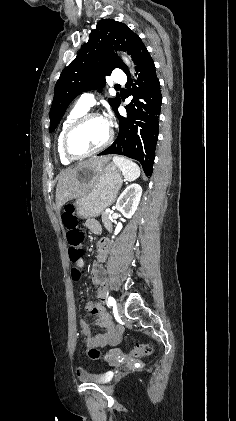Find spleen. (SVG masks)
Segmentation results:
<instances>
[{"mask_svg": "<svg viewBox=\"0 0 236 421\" xmlns=\"http://www.w3.org/2000/svg\"><path fill=\"white\" fill-rule=\"evenodd\" d=\"M116 166L122 170L125 180H135L140 176V168L136 162H133L131 158H124V156H114L113 158Z\"/></svg>", "mask_w": 236, "mask_h": 421, "instance_id": "spleen-1", "label": "spleen"}]
</instances>
